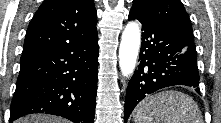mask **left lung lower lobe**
Wrapping results in <instances>:
<instances>
[{"instance_id":"obj_1","label":"left lung lower lobe","mask_w":221,"mask_h":123,"mask_svg":"<svg viewBox=\"0 0 221 123\" xmlns=\"http://www.w3.org/2000/svg\"><path fill=\"white\" fill-rule=\"evenodd\" d=\"M142 24L139 65L129 81L124 107L125 122L135 106L149 94L173 85L197 87L199 75L194 39L167 27L132 7L129 20Z\"/></svg>"}]
</instances>
